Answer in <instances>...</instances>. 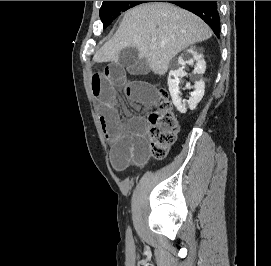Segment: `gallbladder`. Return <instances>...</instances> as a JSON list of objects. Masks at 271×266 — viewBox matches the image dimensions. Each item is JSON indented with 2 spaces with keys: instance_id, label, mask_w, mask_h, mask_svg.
Masks as SVG:
<instances>
[{
  "instance_id": "1",
  "label": "gallbladder",
  "mask_w": 271,
  "mask_h": 266,
  "mask_svg": "<svg viewBox=\"0 0 271 266\" xmlns=\"http://www.w3.org/2000/svg\"><path fill=\"white\" fill-rule=\"evenodd\" d=\"M119 63L126 67L131 75H147L150 67L146 58H140L135 47L123 49L119 56Z\"/></svg>"
}]
</instances>
